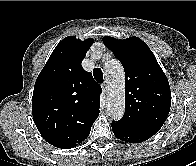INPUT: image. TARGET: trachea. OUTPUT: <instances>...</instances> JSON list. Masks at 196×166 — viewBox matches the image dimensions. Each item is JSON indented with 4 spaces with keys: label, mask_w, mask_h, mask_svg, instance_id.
<instances>
[{
    "label": "trachea",
    "mask_w": 196,
    "mask_h": 166,
    "mask_svg": "<svg viewBox=\"0 0 196 166\" xmlns=\"http://www.w3.org/2000/svg\"><path fill=\"white\" fill-rule=\"evenodd\" d=\"M93 76L97 80V82H99V83L103 82V73L100 68H95L93 70Z\"/></svg>",
    "instance_id": "1"
}]
</instances>
